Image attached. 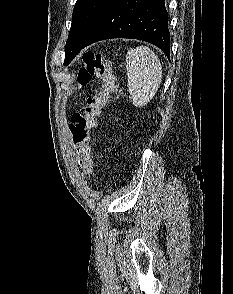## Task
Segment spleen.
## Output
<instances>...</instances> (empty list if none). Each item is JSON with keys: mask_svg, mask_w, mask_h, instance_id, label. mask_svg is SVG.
I'll return each mask as SVG.
<instances>
[{"mask_svg": "<svg viewBox=\"0 0 233 294\" xmlns=\"http://www.w3.org/2000/svg\"><path fill=\"white\" fill-rule=\"evenodd\" d=\"M128 88L133 105L146 106L156 94L162 81V65L147 46L130 49L126 55Z\"/></svg>", "mask_w": 233, "mask_h": 294, "instance_id": "obj_1", "label": "spleen"}]
</instances>
